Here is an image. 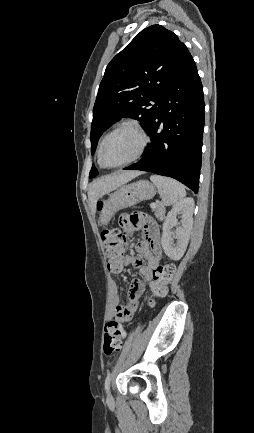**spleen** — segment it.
I'll list each match as a JSON object with an SVG mask.
<instances>
[{
  "label": "spleen",
  "instance_id": "spleen-1",
  "mask_svg": "<svg viewBox=\"0 0 254 433\" xmlns=\"http://www.w3.org/2000/svg\"><path fill=\"white\" fill-rule=\"evenodd\" d=\"M150 180L156 185L162 197L163 205L176 204L186 196L184 186L172 178L151 175Z\"/></svg>",
  "mask_w": 254,
  "mask_h": 433
}]
</instances>
